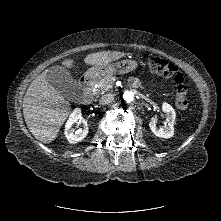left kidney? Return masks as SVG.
Returning a JSON list of instances; mask_svg holds the SVG:
<instances>
[{
	"instance_id": "1",
	"label": "left kidney",
	"mask_w": 221,
	"mask_h": 221,
	"mask_svg": "<svg viewBox=\"0 0 221 221\" xmlns=\"http://www.w3.org/2000/svg\"><path fill=\"white\" fill-rule=\"evenodd\" d=\"M162 111L166 114L167 125H165L163 128H157L156 119L152 118L149 123V127L156 136L161 138H171L174 135L176 113L172 106H170L168 103H163Z\"/></svg>"
}]
</instances>
